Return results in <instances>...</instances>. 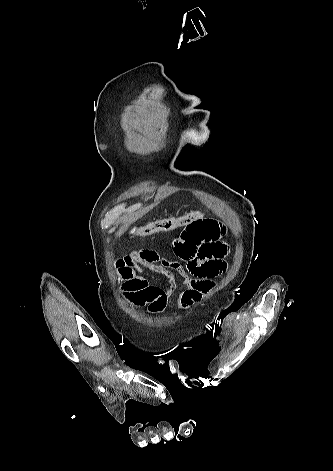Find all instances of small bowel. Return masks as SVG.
<instances>
[{"mask_svg": "<svg viewBox=\"0 0 333 471\" xmlns=\"http://www.w3.org/2000/svg\"><path fill=\"white\" fill-rule=\"evenodd\" d=\"M224 232L221 222L202 216L184 227L173 241L180 261L148 249L125 255L115 263L122 297L136 307H146L150 315L156 316L164 311L182 285L184 289L177 305L184 310L191 308L207 296L215 285L214 279L226 270L228 246L222 241Z\"/></svg>", "mask_w": 333, "mask_h": 471, "instance_id": "small-bowel-1", "label": "small bowel"}]
</instances>
